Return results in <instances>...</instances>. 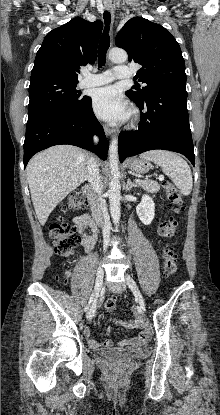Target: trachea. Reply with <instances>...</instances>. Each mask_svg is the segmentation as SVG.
<instances>
[{
  "label": "trachea",
  "instance_id": "obj_1",
  "mask_svg": "<svg viewBox=\"0 0 220 415\" xmlns=\"http://www.w3.org/2000/svg\"><path fill=\"white\" fill-rule=\"evenodd\" d=\"M104 22H105V28L103 31V34L100 38L99 47H98V66L101 67L102 65H105L106 62V53L110 46V37H109V30H110V21L111 16L108 11H105L103 14Z\"/></svg>",
  "mask_w": 220,
  "mask_h": 415
}]
</instances>
